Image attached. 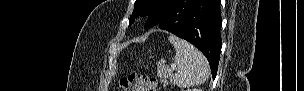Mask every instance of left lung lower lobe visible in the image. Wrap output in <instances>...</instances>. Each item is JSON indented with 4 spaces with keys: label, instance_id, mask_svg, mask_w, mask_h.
Listing matches in <instances>:
<instances>
[{
    "label": "left lung lower lobe",
    "instance_id": "0a47b994",
    "mask_svg": "<svg viewBox=\"0 0 304 91\" xmlns=\"http://www.w3.org/2000/svg\"><path fill=\"white\" fill-rule=\"evenodd\" d=\"M220 0H176L158 23L195 45L207 57L213 78L216 77L221 53Z\"/></svg>",
    "mask_w": 304,
    "mask_h": 91
}]
</instances>
